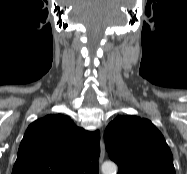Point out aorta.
<instances>
[{
  "label": "aorta",
  "instance_id": "obj_1",
  "mask_svg": "<svg viewBox=\"0 0 187 174\" xmlns=\"http://www.w3.org/2000/svg\"><path fill=\"white\" fill-rule=\"evenodd\" d=\"M117 166L112 162H105L102 165V173L103 174H116Z\"/></svg>",
  "mask_w": 187,
  "mask_h": 174
}]
</instances>
